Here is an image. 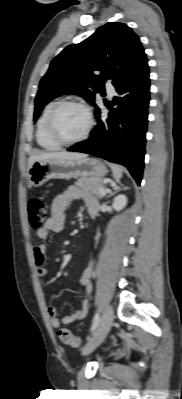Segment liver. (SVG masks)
Here are the masks:
<instances>
[{
    "label": "liver",
    "instance_id": "liver-1",
    "mask_svg": "<svg viewBox=\"0 0 182 399\" xmlns=\"http://www.w3.org/2000/svg\"><path fill=\"white\" fill-rule=\"evenodd\" d=\"M86 155L83 153L76 152H48L31 155L29 158V167L36 161L47 160V159H59V160H78L85 158Z\"/></svg>",
    "mask_w": 182,
    "mask_h": 399
}]
</instances>
